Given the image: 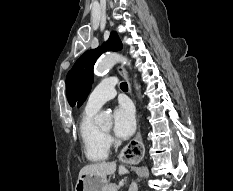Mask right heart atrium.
<instances>
[{"label":"right heart atrium","mask_w":233,"mask_h":191,"mask_svg":"<svg viewBox=\"0 0 233 191\" xmlns=\"http://www.w3.org/2000/svg\"><path fill=\"white\" fill-rule=\"evenodd\" d=\"M105 138H106L107 143H108L109 145H111L112 142H113V139L111 138V136L105 135Z\"/></svg>","instance_id":"right-heart-atrium-1"}]
</instances>
